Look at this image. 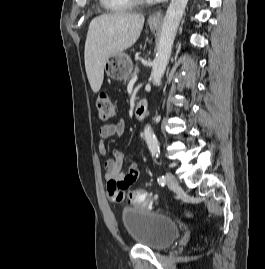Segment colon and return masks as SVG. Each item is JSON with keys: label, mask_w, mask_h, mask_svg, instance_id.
I'll return each instance as SVG.
<instances>
[{"label": "colon", "mask_w": 265, "mask_h": 269, "mask_svg": "<svg viewBox=\"0 0 265 269\" xmlns=\"http://www.w3.org/2000/svg\"><path fill=\"white\" fill-rule=\"evenodd\" d=\"M96 107L99 119L103 122L113 119L116 115L115 105L109 95L105 92L100 93L97 97ZM129 200L131 203L140 207H148L152 203L151 195L142 189H134L130 191Z\"/></svg>", "instance_id": "obj_1"}]
</instances>
